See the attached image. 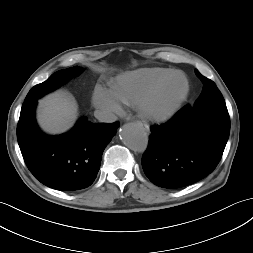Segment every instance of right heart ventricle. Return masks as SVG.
Listing matches in <instances>:
<instances>
[{"mask_svg": "<svg viewBox=\"0 0 253 253\" xmlns=\"http://www.w3.org/2000/svg\"><path fill=\"white\" fill-rule=\"evenodd\" d=\"M174 72L166 68L136 70L116 78L110 86V91L119 103L139 105L155 86Z\"/></svg>", "mask_w": 253, "mask_h": 253, "instance_id": "1", "label": "right heart ventricle"}]
</instances>
